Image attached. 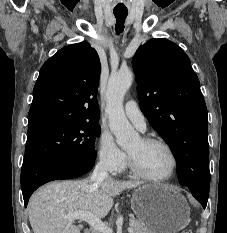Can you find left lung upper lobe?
Instances as JSON below:
<instances>
[{"instance_id": "obj_1", "label": "left lung upper lobe", "mask_w": 227, "mask_h": 233, "mask_svg": "<svg viewBox=\"0 0 227 233\" xmlns=\"http://www.w3.org/2000/svg\"><path fill=\"white\" fill-rule=\"evenodd\" d=\"M132 65L141 110L170 146L182 186L208 194L207 108L187 54L167 39H151Z\"/></svg>"}]
</instances>
